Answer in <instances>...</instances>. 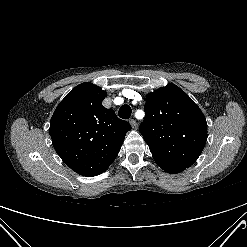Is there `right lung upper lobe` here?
<instances>
[{
  "mask_svg": "<svg viewBox=\"0 0 247 247\" xmlns=\"http://www.w3.org/2000/svg\"><path fill=\"white\" fill-rule=\"evenodd\" d=\"M106 92L85 82L76 86L57 106L49 133L61 159L82 176L104 172L117 157L127 121L119 119L102 101Z\"/></svg>",
  "mask_w": 247,
  "mask_h": 247,
  "instance_id": "obj_1",
  "label": "right lung upper lobe"
}]
</instances>
